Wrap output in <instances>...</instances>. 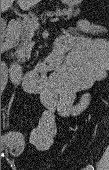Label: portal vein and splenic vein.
Masks as SVG:
<instances>
[{
	"instance_id": "18ae733b",
	"label": "portal vein and splenic vein",
	"mask_w": 109,
	"mask_h": 170,
	"mask_svg": "<svg viewBox=\"0 0 109 170\" xmlns=\"http://www.w3.org/2000/svg\"><path fill=\"white\" fill-rule=\"evenodd\" d=\"M57 21V19H54ZM26 23L33 29H37L39 27V22L35 19H26Z\"/></svg>"
}]
</instances>
